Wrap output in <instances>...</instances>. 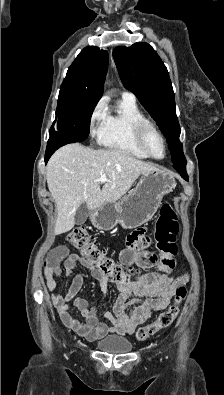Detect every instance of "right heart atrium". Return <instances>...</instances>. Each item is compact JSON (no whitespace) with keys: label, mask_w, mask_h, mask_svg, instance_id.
I'll return each instance as SVG.
<instances>
[{"label":"right heart atrium","mask_w":224,"mask_h":395,"mask_svg":"<svg viewBox=\"0 0 224 395\" xmlns=\"http://www.w3.org/2000/svg\"><path fill=\"white\" fill-rule=\"evenodd\" d=\"M106 101L101 98L93 106L88 120L89 131L93 137H99L107 119Z\"/></svg>","instance_id":"right-heart-atrium-1"}]
</instances>
